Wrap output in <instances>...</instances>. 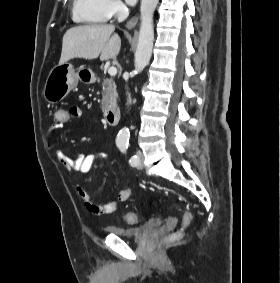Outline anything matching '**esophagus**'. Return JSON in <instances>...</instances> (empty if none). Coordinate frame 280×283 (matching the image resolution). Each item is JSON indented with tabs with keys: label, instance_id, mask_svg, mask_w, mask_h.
<instances>
[{
	"label": "esophagus",
	"instance_id": "obj_1",
	"mask_svg": "<svg viewBox=\"0 0 280 283\" xmlns=\"http://www.w3.org/2000/svg\"><path fill=\"white\" fill-rule=\"evenodd\" d=\"M137 22H138V17H137V16H136V17H133L132 19H130V20L127 22L126 28H127V29H132V28H134V27L136 26Z\"/></svg>",
	"mask_w": 280,
	"mask_h": 283
}]
</instances>
